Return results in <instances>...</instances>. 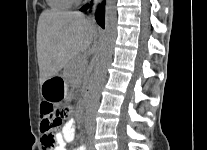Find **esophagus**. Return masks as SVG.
Masks as SVG:
<instances>
[{
  "label": "esophagus",
  "instance_id": "34e87169",
  "mask_svg": "<svg viewBox=\"0 0 207 150\" xmlns=\"http://www.w3.org/2000/svg\"><path fill=\"white\" fill-rule=\"evenodd\" d=\"M102 0H93V6H92V15H91V20L94 22V14L96 12L97 6L101 3Z\"/></svg>",
  "mask_w": 207,
  "mask_h": 150
}]
</instances>
